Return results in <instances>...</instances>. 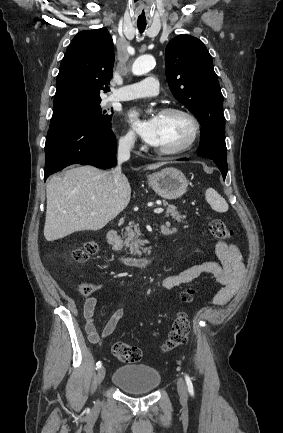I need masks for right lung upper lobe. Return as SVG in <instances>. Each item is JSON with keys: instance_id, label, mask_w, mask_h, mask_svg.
Listing matches in <instances>:
<instances>
[{"instance_id": "right-lung-upper-lobe-1", "label": "right lung upper lobe", "mask_w": 283, "mask_h": 433, "mask_svg": "<svg viewBox=\"0 0 283 433\" xmlns=\"http://www.w3.org/2000/svg\"><path fill=\"white\" fill-rule=\"evenodd\" d=\"M114 46L106 28L79 32L61 61L53 112L101 100L108 92L114 65Z\"/></svg>"}]
</instances>
